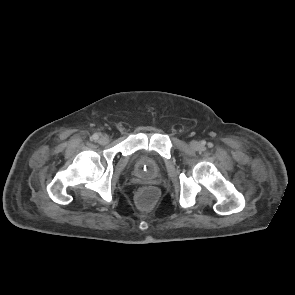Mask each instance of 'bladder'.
<instances>
[{"label": "bladder", "instance_id": "1", "mask_svg": "<svg viewBox=\"0 0 295 295\" xmlns=\"http://www.w3.org/2000/svg\"><path fill=\"white\" fill-rule=\"evenodd\" d=\"M160 171L161 163L158 160L145 153H140L136 156L133 172L138 178L144 181H151L160 174Z\"/></svg>", "mask_w": 295, "mask_h": 295}]
</instances>
